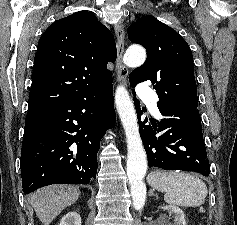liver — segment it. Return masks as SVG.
<instances>
[{
  "instance_id": "1",
  "label": "liver",
  "mask_w": 237,
  "mask_h": 225,
  "mask_svg": "<svg viewBox=\"0 0 237 225\" xmlns=\"http://www.w3.org/2000/svg\"><path fill=\"white\" fill-rule=\"evenodd\" d=\"M80 195L76 186L52 185L36 190L29 196V203L44 225H49L66 207Z\"/></svg>"
}]
</instances>
